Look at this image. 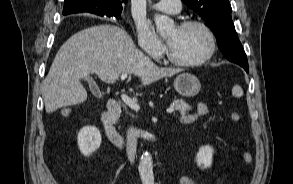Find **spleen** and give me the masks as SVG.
Masks as SVG:
<instances>
[{
  "instance_id": "obj_1",
  "label": "spleen",
  "mask_w": 293,
  "mask_h": 184,
  "mask_svg": "<svg viewBox=\"0 0 293 184\" xmlns=\"http://www.w3.org/2000/svg\"><path fill=\"white\" fill-rule=\"evenodd\" d=\"M232 94L235 97H241L243 96V89L239 85H235L232 89Z\"/></svg>"
}]
</instances>
